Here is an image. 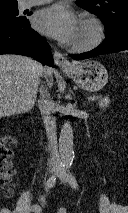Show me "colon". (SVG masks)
Returning a JSON list of instances; mask_svg holds the SVG:
<instances>
[{"mask_svg":"<svg viewBox=\"0 0 128 213\" xmlns=\"http://www.w3.org/2000/svg\"><path fill=\"white\" fill-rule=\"evenodd\" d=\"M128 79V75H127ZM15 139L11 135H4L0 137V185L6 186L9 184L14 175L12 165L13 147ZM12 190L8 188L7 195H11ZM56 213H68L65 208H60Z\"/></svg>","mask_w":128,"mask_h":213,"instance_id":"colon-1","label":"colon"}]
</instances>
